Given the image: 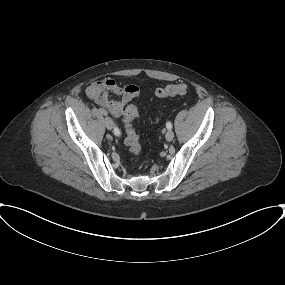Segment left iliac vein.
<instances>
[{
	"mask_svg": "<svg viewBox=\"0 0 285 285\" xmlns=\"http://www.w3.org/2000/svg\"><path fill=\"white\" fill-rule=\"evenodd\" d=\"M165 138L168 142L172 141L174 138V132L170 129L167 131Z\"/></svg>",
	"mask_w": 285,
	"mask_h": 285,
	"instance_id": "4c4485c4",
	"label": "left iliac vein"
}]
</instances>
